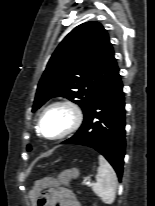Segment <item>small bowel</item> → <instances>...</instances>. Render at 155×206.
Returning a JSON list of instances; mask_svg holds the SVG:
<instances>
[{
    "label": "small bowel",
    "mask_w": 155,
    "mask_h": 206,
    "mask_svg": "<svg viewBox=\"0 0 155 206\" xmlns=\"http://www.w3.org/2000/svg\"><path fill=\"white\" fill-rule=\"evenodd\" d=\"M37 189L41 188L39 182ZM37 191L33 190L32 194L35 196ZM42 206H81L74 195L66 188L57 186L46 193V202Z\"/></svg>",
    "instance_id": "small-bowel-1"
}]
</instances>
